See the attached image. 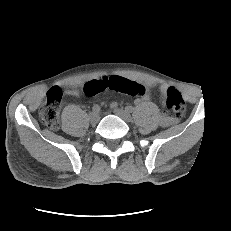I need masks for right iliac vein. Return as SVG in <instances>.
Segmentation results:
<instances>
[{
	"instance_id": "obj_1",
	"label": "right iliac vein",
	"mask_w": 231,
	"mask_h": 231,
	"mask_svg": "<svg viewBox=\"0 0 231 231\" xmlns=\"http://www.w3.org/2000/svg\"><path fill=\"white\" fill-rule=\"evenodd\" d=\"M89 120L92 124L98 123V121L100 120L99 114L94 112L90 113Z\"/></svg>"
}]
</instances>
